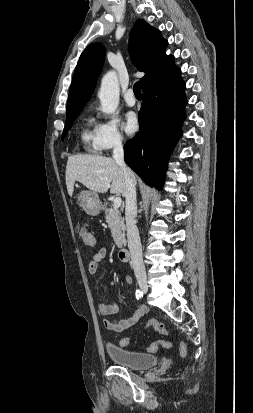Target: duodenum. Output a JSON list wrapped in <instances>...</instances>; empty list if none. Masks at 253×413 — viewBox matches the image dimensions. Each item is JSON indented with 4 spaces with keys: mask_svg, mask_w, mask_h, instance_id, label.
<instances>
[{
    "mask_svg": "<svg viewBox=\"0 0 253 413\" xmlns=\"http://www.w3.org/2000/svg\"><path fill=\"white\" fill-rule=\"evenodd\" d=\"M119 259L122 262H127L130 258V250L127 246H122L118 253Z\"/></svg>",
    "mask_w": 253,
    "mask_h": 413,
    "instance_id": "1",
    "label": "duodenum"
}]
</instances>
